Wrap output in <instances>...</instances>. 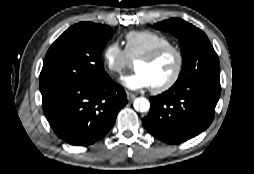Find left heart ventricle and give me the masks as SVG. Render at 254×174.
Wrapping results in <instances>:
<instances>
[{
    "mask_svg": "<svg viewBox=\"0 0 254 174\" xmlns=\"http://www.w3.org/2000/svg\"><path fill=\"white\" fill-rule=\"evenodd\" d=\"M177 64L176 56L173 52H167L156 61L148 63L138 61L136 70L145 72L152 82V86H159L168 81L173 75Z\"/></svg>",
    "mask_w": 254,
    "mask_h": 174,
    "instance_id": "left-heart-ventricle-1",
    "label": "left heart ventricle"
}]
</instances>
